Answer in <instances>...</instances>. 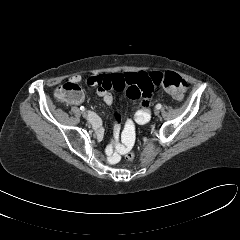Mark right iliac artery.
Returning <instances> with one entry per match:
<instances>
[{
	"label": "right iliac artery",
	"instance_id": "1",
	"mask_svg": "<svg viewBox=\"0 0 240 240\" xmlns=\"http://www.w3.org/2000/svg\"><path fill=\"white\" fill-rule=\"evenodd\" d=\"M80 110H81V111H85L84 106H81V107H80Z\"/></svg>",
	"mask_w": 240,
	"mask_h": 240
}]
</instances>
